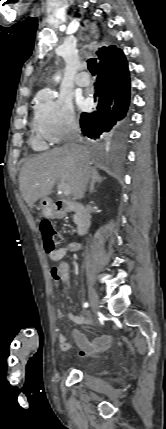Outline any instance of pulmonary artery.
<instances>
[{"label": "pulmonary artery", "instance_id": "1", "mask_svg": "<svg viewBox=\"0 0 166 429\" xmlns=\"http://www.w3.org/2000/svg\"><path fill=\"white\" fill-rule=\"evenodd\" d=\"M84 69H85L84 65L80 67V73L75 79L76 84L80 87H86L90 83V80L87 76V73L84 72Z\"/></svg>", "mask_w": 166, "mask_h": 429}]
</instances>
